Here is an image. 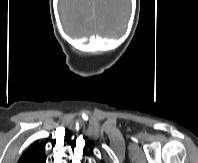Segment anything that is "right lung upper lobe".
<instances>
[{"label": "right lung upper lobe", "mask_w": 198, "mask_h": 163, "mask_svg": "<svg viewBox=\"0 0 198 163\" xmlns=\"http://www.w3.org/2000/svg\"><path fill=\"white\" fill-rule=\"evenodd\" d=\"M17 163H45V150L40 145L30 146Z\"/></svg>", "instance_id": "1"}]
</instances>
